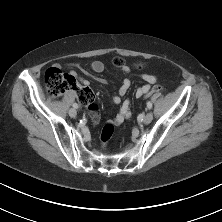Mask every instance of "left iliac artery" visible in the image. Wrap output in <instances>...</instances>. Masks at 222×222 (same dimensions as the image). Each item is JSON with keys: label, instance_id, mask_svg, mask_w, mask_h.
<instances>
[{"label": "left iliac artery", "instance_id": "left-iliac-artery-1", "mask_svg": "<svg viewBox=\"0 0 222 222\" xmlns=\"http://www.w3.org/2000/svg\"><path fill=\"white\" fill-rule=\"evenodd\" d=\"M147 107H148L149 109L152 108V103H151L150 101L147 102Z\"/></svg>", "mask_w": 222, "mask_h": 222}]
</instances>
